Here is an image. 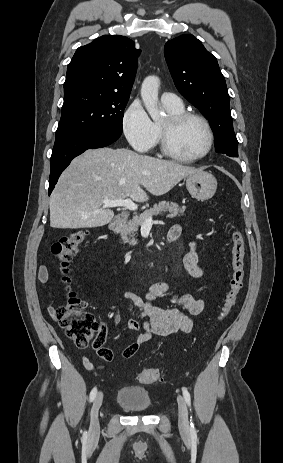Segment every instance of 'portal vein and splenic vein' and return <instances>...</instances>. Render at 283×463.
<instances>
[{
  "instance_id": "1",
  "label": "portal vein and splenic vein",
  "mask_w": 283,
  "mask_h": 463,
  "mask_svg": "<svg viewBox=\"0 0 283 463\" xmlns=\"http://www.w3.org/2000/svg\"><path fill=\"white\" fill-rule=\"evenodd\" d=\"M103 203L105 207H125L126 209L131 210V211H135L138 208V206L130 198L118 199V200L104 199ZM144 224L152 225L153 224L152 217L146 218L144 221Z\"/></svg>"
}]
</instances>
